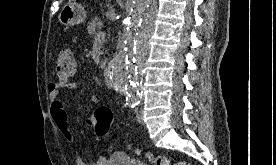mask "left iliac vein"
<instances>
[{"instance_id":"4c4485c4","label":"left iliac vein","mask_w":276,"mask_h":165,"mask_svg":"<svg viewBox=\"0 0 276 165\" xmlns=\"http://www.w3.org/2000/svg\"><path fill=\"white\" fill-rule=\"evenodd\" d=\"M136 118L140 124H144L143 113L141 110L137 112Z\"/></svg>"}]
</instances>
